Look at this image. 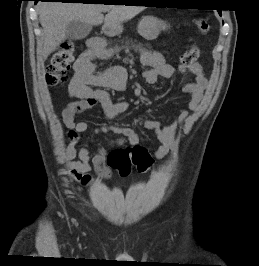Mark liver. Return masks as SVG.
<instances>
[{
  "label": "liver",
  "instance_id": "6515ba94",
  "mask_svg": "<svg viewBox=\"0 0 259 266\" xmlns=\"http://www.w3.org/2000/svg\"><path fill=\"white\" fill-rule=\"evenodd\" d=\"M43 28L41 56L44 60L65 40L66 26L74 21L99 25L103 29L128 21L144 10V6L44 2L38 5ZM108 12L104 17L102 12Z\"/></svg>",
  "mask_w": 259,
  "mask_h": 266
}]
</instances>
